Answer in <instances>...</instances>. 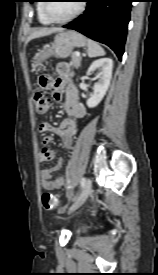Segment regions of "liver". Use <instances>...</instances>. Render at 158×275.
<instances>
[{"label": "liver", "mask_w": 158, "mask_h": 275, "mask_svg": "<svg viewBox=\"0 0 158 275\" xmlns=\"http://www.w3.org/2000/svg\"><path fill=\"white\" fill-rule=\"evenodd\" d=\"M63 29L62 28H42L39 30L34 31L29 37H28V41L38 38V37H42V36H46L49 35L51 33H55V32H62Z\"/></svg>", "instance_id": "6515ba94"}]
</instances>
